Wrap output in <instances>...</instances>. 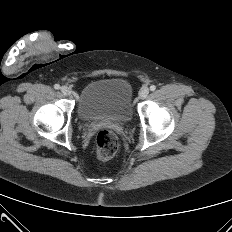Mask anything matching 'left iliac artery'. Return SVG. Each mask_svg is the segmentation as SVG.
Listing matches in <instances>:
<instances>
[{
    "label": "left iliac artery",
    "instance_id": "left-iliac-artery-1",
    "mask_svg": "<svg viewBox=\"0 0 232 232\" xmlns=\"http://www.w3.org/2000/svg\"><path fill=\"white\" fill-rule=\"evenodd\" d=\"M155 89H156V86H155V85H151V86H150V90H151V91H155Z\"/></svg>",
    "mask_w": 232,
    "mask_h": 232
}]
</instances>
